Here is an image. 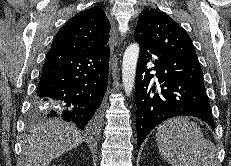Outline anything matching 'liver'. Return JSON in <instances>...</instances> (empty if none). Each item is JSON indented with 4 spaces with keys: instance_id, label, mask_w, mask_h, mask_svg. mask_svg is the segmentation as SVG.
Here are the masks:
<instances>
[{
    "instance_id": "obj_1",
    "label": "liver",
    "mask_w": 231,
    "mask_h": 166,
    "mask_svg": "<svg viewBox=\"0 0 231 166\" xmlns=\"http://www.w3.org/2000/svg\"><path fill=\"white\" fill-rule=\"evenodd\" d=\"M85 141L71 123L49 119L30 128L24 137L25 166H48L60 155Z\"/></svg>"
}]
</instances>
